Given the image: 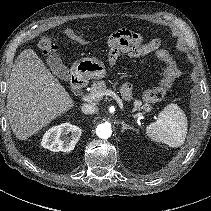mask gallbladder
I'll return each mask as SVG.
<instances>
[{
	"label": "gallbladder",
	"instance_id": "1",
	"mask_svg": "<svg viewBox=\"0 0 211 211\" xmlns=\"http://www.w3.org/2000/svg\"><path fill=\"white\" fill-rule=\"evenodd\" d=\"M46 61H47V64L49 65L50 69L52 70V72L55 75L60 77L63 73L68 72L67 68L62 63L60 56L56 52L50 51L47 54Z\"/></svg>",
	"mask_w": 211,
	"mask_h": 211
}]
</instances>
